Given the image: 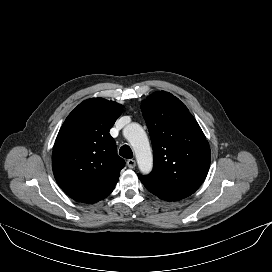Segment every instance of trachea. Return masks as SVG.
Returning <instances> with one entry per match:
<instances>
[{
    "label": "trachea",
    "instance_id": "trachea-1",
    "mask_svg": "<svg viewBox=\"0 0 272 272\" xmlns=\"http://www.w3.org/2000/svg\"><path fill=\"white\" fill-rule=\"evenodd\" d=\"M119 154L126 159H131L133 157L132 150L128 145H123L119 150Z\"/></svg>",
    "mask_w": 272,
    "mask_h": 272
}]
</instances>
